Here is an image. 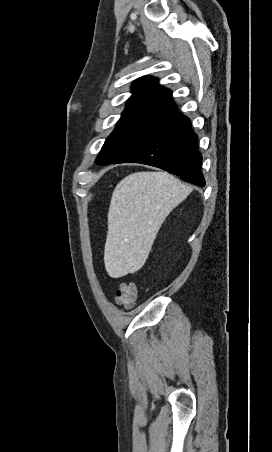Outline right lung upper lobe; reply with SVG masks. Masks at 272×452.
Listing matches in <instances>:
<instances>
[{
  "label": "right lung upper lobe",
  "instance_id": "right-lung-upper-lobe-1",
  "mask_svg": "<svg viewBox=\"0 0 272 452\" xmlns=\"http://www.w3.org/2000/svg\"><path fill=\"white\" fill-rule=\"evenodd\" d=\"M133 95L129 98L123 114L147 113L164 115L177 111L169 89L159 86L153 77H141L132 85Z\"/></svg>",
  "mask_w": 272,
  "mask_h": 452
}]
</instances>
